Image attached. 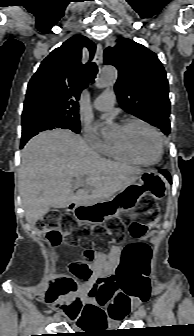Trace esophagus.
Instances as JSON below:
<instances>
[{
  "mask_svg": "<svg viewBox=\"0 0 194 336\" xmlns=\"http://www.w3.org/2000/svg\"><path fill=\"white\" fill-rule=\"evenodd\" d=\"M103 61V49L101 43L97 44L96 53H95V62L100 67Z\"/></svg>",
  "mask_w": 194,
  "mask_h": 336,
  "instance_id": "34e87169",
  "label": "esophagus"
}]
</instances>
